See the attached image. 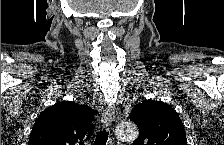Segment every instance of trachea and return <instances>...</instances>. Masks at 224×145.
Here are the masks:
<instances>
[{"label":"trachea","mask_w":224,"mask_h":145,"mask_svg":"<svg viewBox=\"0 0 224 145\" xmlns=\"http://www.w3.org/2000/svg\"><path fill=\"white\" fill-rule=\"evenodd\" d=\"M108 140V132L105 130H100L97 133L95 145H106V142Z\"/></svg>","instance_id":"3493384b"}]
</instances>
